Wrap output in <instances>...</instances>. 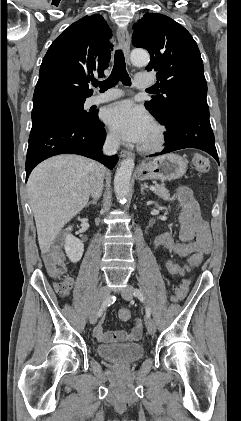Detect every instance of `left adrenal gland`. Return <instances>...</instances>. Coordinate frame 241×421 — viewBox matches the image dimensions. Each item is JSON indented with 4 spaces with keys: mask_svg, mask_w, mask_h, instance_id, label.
I'll return each instance as SVG.
<instances>
[{
    "mask_svg": "<svg viewBox=\"0 0 241 421\" xmlns=\"http://www.w3.org/2000/svg\"><path fill=\"white\" fill-rule=\"evenodd\" d=\"M144 190L148 191L147 186L145 184H141V194L144 195Z\"/></svg>",
    "mask_w": 241,
    "mask_h": 421,
    "instance_id": "a2214340",
    "label": "left adrenal gland"
}]
</instances>
